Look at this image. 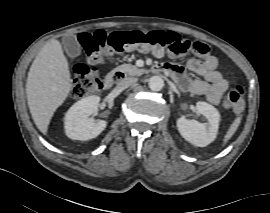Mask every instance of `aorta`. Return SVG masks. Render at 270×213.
<instances>
[{
	"instance_id": "aorta-1",
	"label": "aorta",
	"mask_w": 270,
	"mask_h": 213,
	"mask_svg": "<svg viewBox=\"0 0 270 213\" xmlns=\"http://www.w3.org/2000/svg\"><path fill=\"white\" fill-rule=\"evenodd\" d=\"M148 85L152 91H160L164 86V80L162 77L155 75L149 79Z\"/></svg>"
}]
</instances>
